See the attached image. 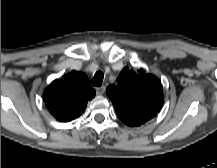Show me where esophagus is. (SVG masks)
<instances>
[{
    "label": "esophagus",
    "instance_id": "obj_1",
    "mask_svg": "<svg viewBox=\"0 0 217 168\" xmlns=\"http://www.w3.org/2000/svg\"><path fill=\"white\" fill-rule=\"evenodd\" d=\"M105 90H106L105 86H101V87L96 88V93L98 95H103L105 93Z\"/></svg>",
    "mask_w": 217,
    "mask_h": 168
}]
</instances>
